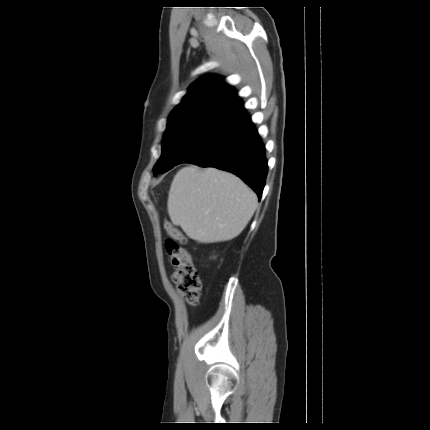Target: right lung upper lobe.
I'll return each mask as SVG.
<instances>
[{
  "mask_svg": "<svg viewBox=\"0 0 430 430\" xmlns=\"http://www.w3.org/2000/svg\"><path fill=\"white\" fill-rule=\"evenodd\" d=\"M188 90L189 92L173 112L208 103H220L231 107L241 117L246 115V110L237 97L235 89L228 86L222 77L210 74L202 76Z\"/></svg>",
  "mask_w": 430,
  "mask_h": 430,
  "instance_id": "cb5924a9",
  "label": "right lung upper lobe"
}]
</instances>
